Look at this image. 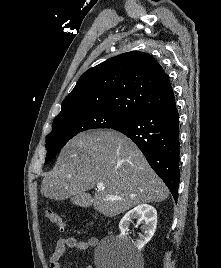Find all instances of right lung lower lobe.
Returning a JSON list of instances; mask_svg holds the SVG:
<instances>
[{
    "label": "right lung lower lobe",
    "mask_w": 221,
    "mask_h": 268,
    "mask_svg": "<svg viewBox=\"0 0 221 268\" xmlns=\"http://www.w3.org/2000/svg\"><path fill=\"white\" fill-rule=\"evenodd\" d=\"M112 129L128 136L177 200L179 171V114L173 102L119 124Z\"/></svg>",
    "instance_id": "98d812e1"
}]
</instances>
